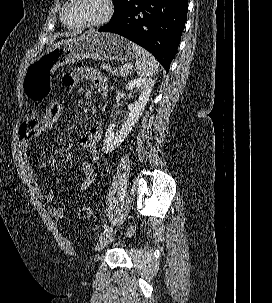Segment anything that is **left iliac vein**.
I'll return each mask as SVG.
<instances>
[{"instance_id": "4c4485c4", "label": "left iliac vein", "mask_w": 272, "mask_h": 303, "mask_svg": "<svg viewBox=\"0 0 272 303\" xmlns=\"http://www.w3.org/2000/svg\"><path fill=\"white\" fill-rule=\"evenodd\" d=\"M115 234V230H110L106 235H103L100 237L96 249L100 252L113 238Z\"/></svg>"}]
</instances>
